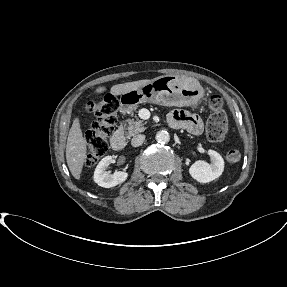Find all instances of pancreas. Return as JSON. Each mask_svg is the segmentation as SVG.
<instances>
[{"label": "pancreas", "instance_id": "1", "mask_svg": "<svg viewBox=\"0 0 287 287\" xmlns=\"http://www.w3.org/2000/svg\"><path fill=\"white\" fill-rule=\"evenodd\" d=\"M133 116V112H131ZM136 120L128 118L123 125H121V129L125 131L127 138H130L136 134H139L146 130L145 124L143 120H140L137 116H135Z\"/></svg>", "mask_w": 287, "mask_h": 287}]
</instances>
